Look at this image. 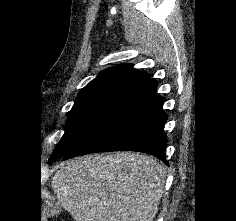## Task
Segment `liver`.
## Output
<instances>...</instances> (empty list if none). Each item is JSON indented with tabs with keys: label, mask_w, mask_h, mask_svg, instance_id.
Returning a JSON list of instances; mask_svg holds the SVG:
<instances>
[{
	"label": "liver",
	"mask_w": 236,
	"mask_h": 221,
	"mask_svg": "<svg viewBox=\"0 0 236 221\" xmlns=\"http://www.w3.org/2000/svg\"><path fill=\"white\" fill-rule=\"evenodd\" d=\"M165 181L156 159L118 152L61 164L51 187L75 221H153Z\"/></svg>",
	"instance_id": "obj_1"
}]
</instances>
